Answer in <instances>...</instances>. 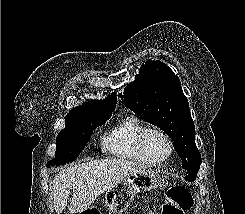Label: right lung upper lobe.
I'll return each mask as SVG.
<instances>
[{
    "mask_svg": "<svg viewBox=\"0 0 245 214\" xmlns=\"http://www.w3.org/2000/svg\"><path fill=\"white\" fill-rule=\"evenodd\" d=\"M116 107V95L112 93L104 100H91L85 104L76 107L66 115V129L71 120L77 116L89 115V114H110L114 111ZM63 129V130H64Z\"/></svg>",
    "mask_w": 245,
    "mask_h": 214,
    "instance_id": "right-lung-upper-lobe-1",
    "label": "right lung upper lobe"
}]
</instances>
